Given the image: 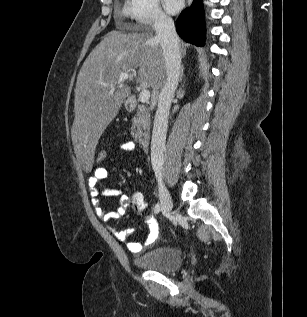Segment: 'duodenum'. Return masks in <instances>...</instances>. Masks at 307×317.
I'll use <instances>...</instances> for the list:
<instances>
[{"mask_svg": "<svg viewBox=\"0 0 307 317\" xmlns=\"http://www.w3.org/2000/svg\"><path fill=\"white\" fill-rule=\"evenodd\" d=\"M129 109L134 110L137 106V100L135 98H129L127 101ZM150 135L148 133L143 134L141 137V146L144 151H147L150 147Z\"/></svg>", "mask_w": 307, "mask_h": 317, "instance_id": "duodenum-1", "label": "duodenum"}]
</instances>
